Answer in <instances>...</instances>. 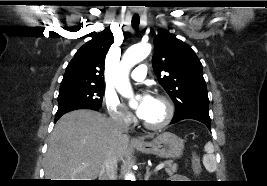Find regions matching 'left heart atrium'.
<instances>
[{
	"mask_svg": "<svg viewBox=\"0 0 267 186\" xmlns=\"http://www.w3.org/2000/svg\"><path fill=\"white\" fill-rule=\"evenodd\" d=\"M154 100L155 99L148 93H145L141 96L136 108V114L138 117L141 119H145L147 117Z\"/></svg>",
	"mask_w": 267,
	"mask_h": 186,
	"instance_id": "39dd6f15",
	"label": "left heart atrium"
}]
</instances>
